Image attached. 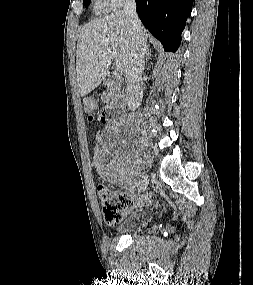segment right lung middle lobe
I'll return each mask as SVG.
<instances>
[{
    "label": "right lung middle lobe",
    "mask_w": 253,
    "mask_h": 285,
    "mask_svg": "<svg viewBox=\"0 0 253 285\" xmlns=\"http://www.w3.org/2000/svg\"><path fill=\"white\" fill-rule=\"evenodd\" d=\"M89 2H90V0H84V4H85L86 6L89 5Z\"/></svg>",
    "instance_id": "right-lung-middle-lobe-1"
}]
</instances>
